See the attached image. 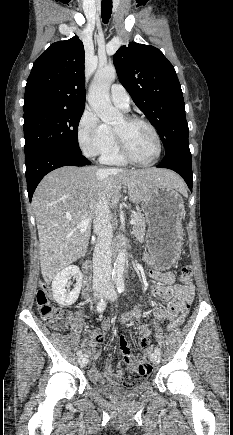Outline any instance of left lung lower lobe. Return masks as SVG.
I'll list each match as a JSON object with an SVG mask.
<instances>
[{
  "label": "left lung lower lobe",
  "instance_id": "obj_1",
  "mask_svg": "<svg viewBox=\"0 0 233 435\" xmlns=\"http://www.w3.org/2000/svg\"><path fill=\"white\" fill-rule=\"evenodd\" d=\"M156 167L167 168L177 172L183 177L189 189L192 191L193 175L191 153L188 143H183L170 149L165 153L163 161Z\"/></svg>",
  "mask_w": 233,
  "mask_h": 435
}]
</instances>
